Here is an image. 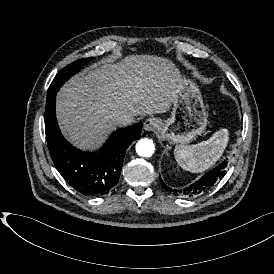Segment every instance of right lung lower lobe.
Here are the masks:
<instances>
[{
    "label": "right lung lower lobe",
    "instance_id": "98d812e1",
    "mask_svg": "<svg viewBox=\"0 0 274 274\" xmlns=\"http://www.w3.org/2000/svg\"><path fill=\"white\" fill-rule=\"evenodd\" d=\"M55 99L56 93L47 95L44 115L48 149L55 167L83 195L109 193L119 181L127 148L141 135L142 122L114 132L98 153L83 152L62 136L56 120Z\"/></svg>",
    "mask_w": 274,
    "mask_h": 274
}]
</instances>
